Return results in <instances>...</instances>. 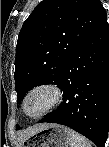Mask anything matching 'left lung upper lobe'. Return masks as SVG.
Here are the masks:
<instances>
[{
	"instance_id": "1",
	"label": "left lung upper lobe",
	"mask_w": 109,
	"mask_h": 147,
	"mask_svg": "<svg viewBox=\"0 0 109 147\" xmlns=\"http://www.w3.org/2000/svg\"><path fill=\"white\" fill-rule=\"evenodd\" d=\"M105 14L99 0L40 2L18 36L14 74L18 100L32 87L59 85L70 56Z\"/></svg>"
}]
</instances>
